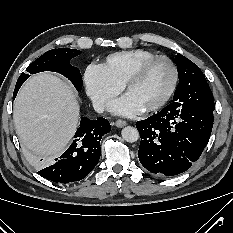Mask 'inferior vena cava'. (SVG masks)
Returning <instances> with one entry per match:
<instances>
[{"label":"inferior vena cava","mask_w":233,"mask_h":233,"mask_svg":"<svg viewBox=\"0 0 233 233\" xmlns=\"http://www.w3.org/2000/svg\"><path fill=\"white\" fill-rule=\"evenodd\" d=\"M107 105L102 101L93 102V108L97 113H102L106 109Z\"/></svg>","instance_id":"obj_1"}]
</instances>
